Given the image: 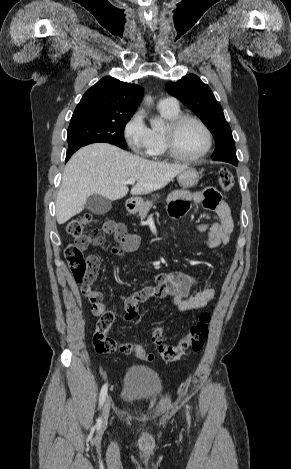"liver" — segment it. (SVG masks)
Wrapping results in <instances>:
<instances>
[{
  "label": "liver",
  "mask_w": 291,
  "mask_h": 469,
  "mask_svg": "<svg viewBox=\"0 0 291 469\" xmlns=\"http://www.w3.org/2000/svg\"><path fill=\"white\" fill-rule=\"evenodd\" d=\"M185 164L153 162L114 145L94 143L78 150L68 161L56 200V219L64 224L82 212L92 194L109 200L126 196L128 179L137 181L132 195L147 194L166 186L187 169Z\"/></svg>",
  "instance_id": "1"
}]
</instances>
